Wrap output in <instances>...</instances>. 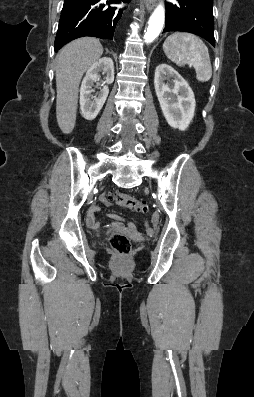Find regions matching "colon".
Here are the masks:
<instances>
[{
  "instance_id": "obj_1",
  "label": "colon",
  "mask_w": 254,
  "mask_h": 397,
  "mask_svg": "<svg viewBox=\"0 0 254 397\" xmlns=\"http://www.w3.org/2000/svg\"><path fill=\"white\" fill-rule=\"evenodd\" d=\"M111 197L117 205L128 208L131 211L142 214L149 211L145 201L131 195L115 192L111 194ZM109 242L113 250L121 256H127L131 251L132 244L130 239L121 232H112L109 236Z\"/></svg>"
}]
</instances>
